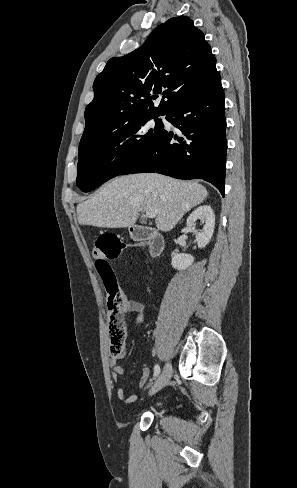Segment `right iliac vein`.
<instances>
[{
  "label": "right iliac vein",
  "mask_w": 297,
  "mask_h": 488,
  "mask_svg": "<svg viewBox=\"0 0 297 488\" xmlns=\"http://www.w3.org/2000/svg\"><path fill=\"white\" fill-rule=\"evenodd\" d=\"M171 374H172V365L169 362H167L162 373H161V375L159 376V378L156 380L154 385L149 390V395H153V394L157 393L164 386H166V384L169 382V380L171 378Z\"/></svg>",
  "instance_id": "1"
}]
</instances>
